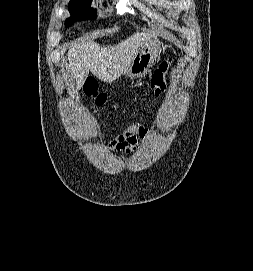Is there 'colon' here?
<instances>
[{
  "mask_svg": "<svg viewBox=\"0 0 253 271\" xmlns=\"http://www.w3.org/2000/svg\"><path fill=\"white\" fill-rule=\"evenodd\" d=\"M172 67V58L165 59L159 66V68L155 71L151 79V90L156 94L159 95L167 88V81L166 77L168 72ZM85 91L86 93L91 96L95 103L98 105H102L106 98L103 94L97 92V85L96 82L89 78L86 80L85 84Z\"/></svg>",
  "mask_w": 253,
  "mask_h": 271,
  "instance_id": "obj_1",
  "label": "colon"
}]
</instances>
